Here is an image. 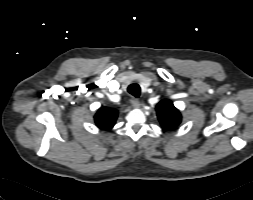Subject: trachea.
<instances>
[{"label": "trachea", "mask_w": 253, "mask_h": 200, "mask_svg": "<svg viewBox=\"0 0 253 200\" xmlns=\"http://www.w3.org/2000/svg\"><path fill=\"white\" fill-rule=\"evenodd\" d=\"M129 94L133 95L134 97H139L140 95V86L136 83L129 85L128 87Z\"/></svg>", "instance_id": "obj_1"}]
</instances>
